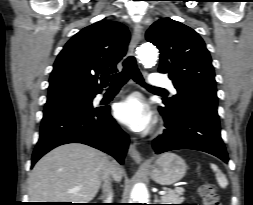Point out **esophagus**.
Instances as JSON below:
<instances>
[{"label":"esophagus","instance_id":"esophagus-1","mask_svg":"<svg viewBox=\"0 0 253 205\" xmlns=\"http://www.w3.org/2000/svg\"><path fill=\"white\" fill-rule=\"evenodd\" d=\"M141 38H142V28L139 24H135L132 38H131V42H130V53L132 55L135 54L136 47L139 44ZM136 144L137 143L135 141L133 143H131V145L129 147V154H130L131 158L136 163H141L143 161V159H142L140 152L138 151V149L136 147Z\"/></svg>","mask_w":253,"mask_h":205}]
</instances>
